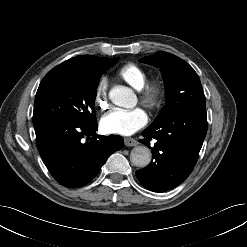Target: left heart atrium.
I'll list each match as a JSON object with an SVG mask.
<instances>
[{"label": "left heart atrium", "instance_id": "1", "mask_svg": "<svg viewBox=\"0 0 247 247\" xmlns=\"http://www.w3.org/2000/svg\"><path fill=\"white\" fill-rule=\"evenodd\" d=\"M148 121L146 112L140 108H114L100 120L101 129L110 134L128 136L141 129Z\"/></svg>", "mask_w": 247, "mask_h": 247}]
</instances>
